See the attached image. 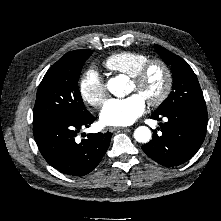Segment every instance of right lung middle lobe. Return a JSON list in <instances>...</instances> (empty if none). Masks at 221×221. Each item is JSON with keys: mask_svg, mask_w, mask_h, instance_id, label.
Returning a JSON list of instances; mask_svg holds the SVG:
<instances>
[{"mask_svg": "<svg viewBox=\"0 0 221 221\" xmlns=\"http://www.w3.org/2000/svg\"><path fill=\"white\" fill-rule=\"evenodd\" d=\"M92 53V50L71 51L50 67L37 90L33 125L80 117L88 112L77 83L82 66Z\"/></svg>", "mask_w": 221, "mask_h": 221, "instance_id": "1", "label": "right lung middle lobe"}]
</instances>
